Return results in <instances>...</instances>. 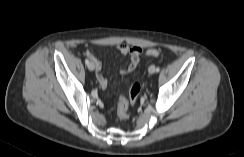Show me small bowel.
Instances as JSON below:
<instances>
[{
	"label": "small bowel",
	"mask_w": 244,
	"mask_h": 157,
	"mask_svg": "<svg viewBox=\"0 0 244 157\" xmlns=\"http://www.w3.org/2000/svg\"><path fill=\"white\" fill-rule=\"evenodd\" d=\"M117 50L123 54V55H129L130 56V62L128 65L120 70L121 74H129L131 73L139 64L141 60V53L142 49L138 46H129L127 44L121 43L117 46ZM86 56L90 59V61L94 64V69L96 71V77L99 82V84L102 87L107 86V79L102 74V63L98 59V57L95 55L94 51L92 49H87L85 51Z\"/></svg>",
	"instance_id": "1"
}]
</instances>
